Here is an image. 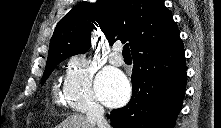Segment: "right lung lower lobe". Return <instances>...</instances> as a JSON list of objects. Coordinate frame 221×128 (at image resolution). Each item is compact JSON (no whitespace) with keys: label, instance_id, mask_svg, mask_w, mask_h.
Instances as JSON below:
<instances>
[{"label":"right lung lower lobe","instance_id":"obj_1","mask_svg":"<svg viewBox=\"0 0 221 128\" xmlns=\"http://www.w3.org/2000/svg\"><path fill=\"white\" fill-rule=\"evenodd\" d=\"M132 97L108 116L114 128H173L187 83L183 42L136 51Z\"/></svg>","mask_w":221,"mask_h":128}]
</instances>
